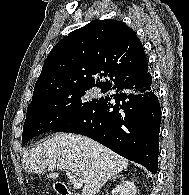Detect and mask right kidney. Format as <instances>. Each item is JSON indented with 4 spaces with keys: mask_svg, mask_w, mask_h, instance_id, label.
I'll return each instance as SVG.
<instances>
[{
    "mask_svg": "<svg viewBox=\"0 0 189 195\" xmlns=\"http://www.w3.org/2000/svg\"><path fill=\"white\" fill-rule=\"evenodd\" d=\"M112 195H136V185L129 180L122 181L112 190Z\"/></svg>",
    "mask_w": 189,
    "mask_h": 195,
    "instance_id": "ca27d5eb",
    "label": "right kidney"
}]
</instances>
